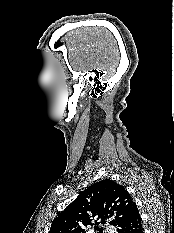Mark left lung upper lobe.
Wrapping results in <instances>:
<instances>
[{
    "instance_id": "left-lung-upper-lobe-1",
    "label": "left lung upper lobe",
    "mask_w": 174,
    "mask_h": 233,
    "mask_svg": "<svg viewBox=\"0 0 174 233\" xmlns=\"http://www.w3.org/2000/svg\"><path fill=\"white\" fill-rule=\"evenodd\" d=\"M138 212L123 186L105 179L90 185L51 224L49 233H86L88 227L109 222L119 227Z\"/></svg>"
}]
</instances>
